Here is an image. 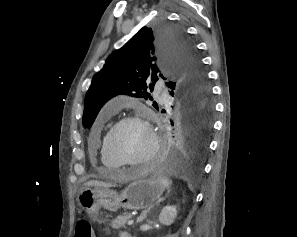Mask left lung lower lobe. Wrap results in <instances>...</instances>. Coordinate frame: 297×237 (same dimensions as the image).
Returning a JSON list of instances; mask_svg holds the SVG:
<instances>
[{
	"mask_svg": "<svg viewBox=\"0 0 297 237\" xmlns=\"http://www.w3.org/2000/svg\"><path fill=\"white\" fill-rule=\"evenodd\" d=\"M174 93L171 90L170 96ZM180 128L168 136L161 155L163 165L170 168H192L201 162L212 128V102L196 106L189 101L175 103Z\"/></svg>",
	"mask_w": 297,
	"mask_h": 237,
	"instance_id": "0a47b994",
	"label": "left lung lower lobe"
}]
</instances>
